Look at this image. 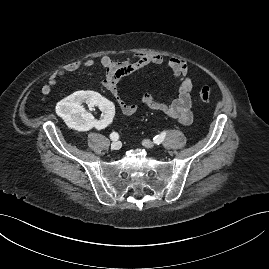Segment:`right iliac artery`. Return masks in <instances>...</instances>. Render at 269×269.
<instances>
[{
	"label": "right iliac artery",
	"instance_id": "1",
	"mask_svg": "<svg viewBox=\"0 0 269 269\" xmlns=\"http://www.w3.org/2000/svg\"><path fill=\"white\" fill-rule=\"evenodd\" d=\"M110 138H111L112 140L116 141V140L119 139V135H118V133H116V132H112V133L110 134Z\"/></svg>",
	"mask_w": 269,
	"mask_h": 269
}]
</instances>
